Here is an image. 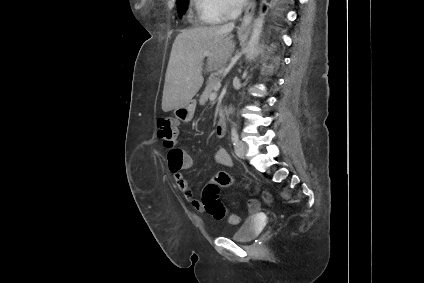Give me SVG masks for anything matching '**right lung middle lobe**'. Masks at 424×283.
I'll return each mask as SVG.
<instances>
[{
	"instance_id": "1",
	"label": "right lung middle lobe",
	"mask_w": 424,
	"mask_h": 283,
	"mask_svg": "<svg viewBox=\"0 0 424 283\" xmlns=\"http://www.w3.org/2000/svg\"><path fill=\"white\" fill-rule=\"evenodd\" d=\"M177 1H178V13L180 16H182L184 12L187 10L189 0H177Z\"/></svg>"
}]
</instances>
